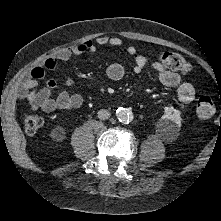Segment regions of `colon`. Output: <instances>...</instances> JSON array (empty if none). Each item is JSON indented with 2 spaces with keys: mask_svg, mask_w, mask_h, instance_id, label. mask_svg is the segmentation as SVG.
I'll return each instance as SVG.
<instances>
[{
  "mask_svg": "<svg viewBox=\"0 0 221 221\" xmlns=\"http://www.w3.org/2000/svg\"><path fill=\"white\" fill-rule=\"evenodd\" d=\"M160 63L164 68L170 71H176L181 74H188L191 71V65L178 53L164 52L159 56ZM197 117L201 121L209 120L214 113V102L209 94H203L199 97L196 105ZM43 125V119L33 113H26L23 116V126L25 131L30 134H36Z\"/></svg>",
  "mask_w": 221,
  "mask_h": 221,
  "instance_id": "1",
  "label": "colon"
}]
</instances>
